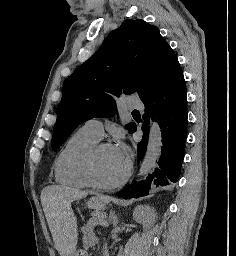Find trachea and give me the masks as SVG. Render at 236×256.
Listing matches in <instances>:
<instances>
[{
  "instance_id": "1",
  "label": "trachea",
  "mask_w": 236,
  "mask_h": 256,
  "mask_svg": "<svg viewBox=\"0 0 236 256\" xmlns=\"http://www.w3.org/2000/svg\"><path fill=\"white\" fill-rule=\"evenodd\" d=\"M133 112H138V110H133Z\"/></svg>"
}]
</instances>
